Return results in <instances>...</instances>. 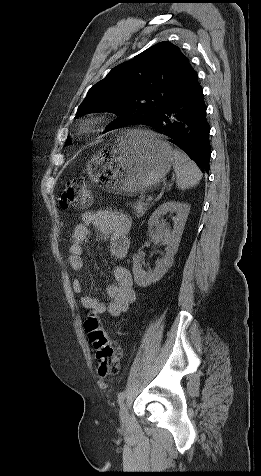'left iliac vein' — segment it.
<instances>
[{"label":"left iliac vein","mask_w":261,"mask_h":476,"mask_svg":"<svg viewBox=\"0 0 261 476\" xmlns=\"http://www.w3.org/2000/svg\"><path fill=\"white\" fill-rule=\"evenodd\" d=\"M119 417L123 424H126L128 422L129 414L125 402H122V404L120 405Z\"/></svg>","instance_id":"obj_1"}]
</instances>
